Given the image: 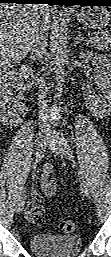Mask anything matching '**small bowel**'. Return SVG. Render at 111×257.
<instances>
[{"instance_id":"c3829d8e","label":"small bowel","mask_w":111,"mask_h":257,"mask_svg":"<svg viewBox=\"0 0 111 257\" xmlns=\"http://www.w3.org/2000/svg\"><path fill=\"white\" fill-rule=\"evenodd\" d=\"M54 169L52 165H45L41 175V188L46 195H53L57 190V184L51 179ZM34 200L26 211V217L29 221L35 224L43 222V210L37 201V195L34 193Z\"/></svg>"}]
</instances>
